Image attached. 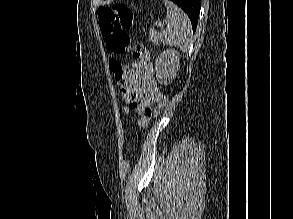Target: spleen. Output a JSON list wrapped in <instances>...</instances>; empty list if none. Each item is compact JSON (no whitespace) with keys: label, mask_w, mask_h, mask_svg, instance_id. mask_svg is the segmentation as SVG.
Instances as JSON below:
<instances>
[{"label":"spleen","mask_w":293,"mask_h":219,"mask_svg":"<svg viewBox=\"0 0 293 219\" xmlns=\"http://www.w3.org/2000/svg\"><path fill=\"white\" fill-rule=\"evenodd\" d=\"M167 8V27L161 31L160 40L163 45L179 47L187 51L191 45L192 27L188 16L174 3L163 0Z\"/></svg>","instance_id":"1"}]
</instances>
